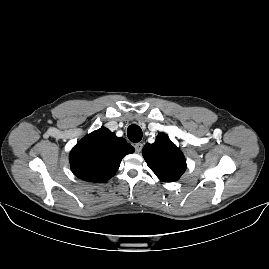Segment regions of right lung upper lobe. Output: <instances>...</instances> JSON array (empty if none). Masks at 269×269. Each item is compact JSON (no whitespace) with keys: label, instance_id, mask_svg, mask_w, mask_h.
<instances>
[{"label":"right lung upper lobe","instance_id":"cb5924a9","mask_svg":"<svg viewBox=\"0 0 269 269\" xmlns=\"http://www.w3.org/2000/svg\"><path fill=\"white\" fill-rule=\"evenodd\" d=\"M134 148L105 127L88 134L70 152L72 172L88 182H104L111 178L126 154Z\"/></svg>","mask_w":269,"mask_h":269}]
</instances>
